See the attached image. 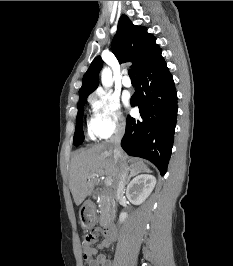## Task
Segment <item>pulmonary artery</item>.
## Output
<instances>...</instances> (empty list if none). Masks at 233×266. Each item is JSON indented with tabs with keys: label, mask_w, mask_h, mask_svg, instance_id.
<instances>
[{
	"label": "pulmonary artery",
	"mask_w": 233,
	"mask_h": 266,
	"mask_svg": "<svg viewBox=\"0 0 233 266\" xmlns=\"http://www.w3.org/2000/svg\"><path fill=\"white\" fill-rule=\"evenodd\" d=\"M122 84L124 87H127V88L132 86V82L126 73L122 77Z\"/></svg>",
	"instance_id": "obj_1"
}]
</instances>
